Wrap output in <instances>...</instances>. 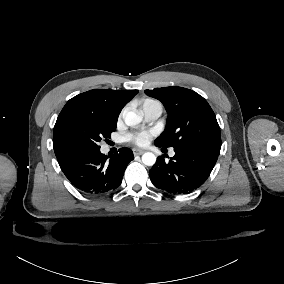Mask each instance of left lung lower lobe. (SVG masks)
Wrapping results in <instances>:
<instances>
[{"label": "left lung lower lobe", "mask_w": 284, "mask_h": 284, "mask_svg": "<svg viewBox=\"0 0 284 284\" xmlns=\"http://www.w3.org/2000/svg\"><path fill=\"white\" fill-rule=\"evenodd\" d=\"M155 145L164 147L157 143ZM174 151L175 155L168 162L163 156L157 158V162L149 170L150 179L165 192L190 193L207 180L218 156L193 148L174 147Z\"/></svg>", "instance_id": "obj_1"}]
</instances>
